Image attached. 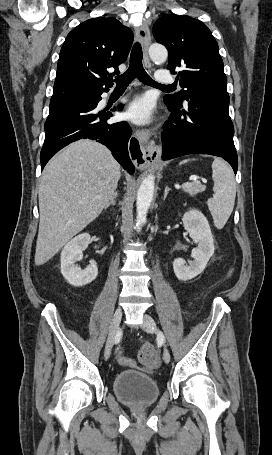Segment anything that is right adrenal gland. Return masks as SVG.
<instances>
[{
	"mask_svg": "<svg viewBox=\"0 0 272 455\" xmlns=\"http://www.w3.org/2000/svg\"><path fill=\"white\" fill-rule=\"evenodd\" d=\"M117 196H118V193L114 192V194L112 195V197L110 199V202L105 206V209L109 208L110 206H115Z\"/></svg>",
	"mask_w": 272,
	"mask_h": 455,
	"instance_id": "2a0ac1e0",
	"label": "right adrenal gland"
}]
</instances>
